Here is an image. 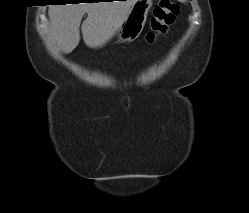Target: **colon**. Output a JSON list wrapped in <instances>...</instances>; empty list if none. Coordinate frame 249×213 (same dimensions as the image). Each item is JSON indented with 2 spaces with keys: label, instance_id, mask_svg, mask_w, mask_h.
<instances>
[{
  "label": "colon",
  "instance_id": "obj_1",
  "mask_svg": "<svg viewBox=\"0 0 249 213\" xmlns=\"http://www.w3.org/2000/svg\"><path fill=\"white\" fill-rule=\"evenodd\" d=\"M179 13L180 7L176 2L173 0H160L153 9L150 20L151 30L146 34L147 42L153 44L164 36Z\"/></svg>",
  "mask_w": 249,
  "mask_h": 213
}]
</instances>
